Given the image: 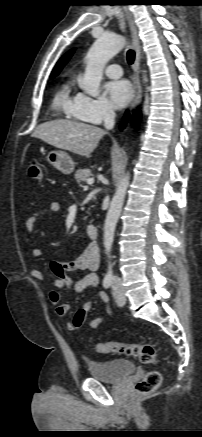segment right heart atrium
<instances>
[{
  "mask_svg": "<svg viewBox=\"0 0 202 437\" xmlns=\"http://www.w3.org/2000/svg\"><path fill=\"white\" fill-rule=\"evenodd\" d=\"M75 111L84 121L100 123L114 115V106L106 97H91L79 93L76 97Z\"/></svg>",
  "mask_w": 202,
  "mask_h": 437,
  "instance_id": "1",
  "label": "right heart atrium"
}]
</instances>
